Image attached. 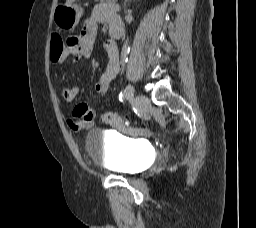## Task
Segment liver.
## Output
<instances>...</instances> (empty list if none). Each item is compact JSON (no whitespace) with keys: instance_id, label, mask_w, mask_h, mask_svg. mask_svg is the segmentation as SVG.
<instances>
[{"instance_id":"obj_1","label":"liver","mask_w":256,"mask_h":228,"mask_svg":"<svg viewBox=\"0 0 256 228\" xmlns=\"http://www.w3.org/2000/svg\"><path fill=\"white\" fill-rule=\"evenodd\" d=\"M72 1H75V0H67V3H70V2H72Z\"/></svg>"}]
</instances>
